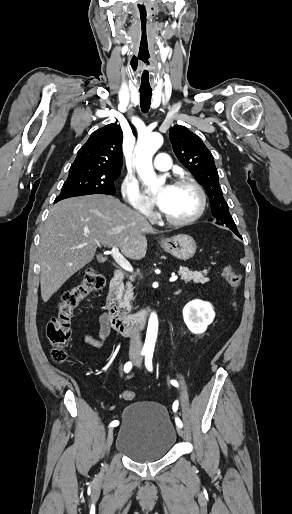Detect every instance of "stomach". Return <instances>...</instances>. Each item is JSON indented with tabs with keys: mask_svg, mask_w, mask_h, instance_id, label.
Here are the masks:
<instances>
[{
	"mask_svg": "<svg viewBox=\"0 0 292 514\" xmlns=\"http://www.w3.org/2000/svg\"><path fill=\"white\" fill-rule=\"evenodd\" d=\"M161 248H163L164 252H168V254L177 258V260H189V258L194 256L197 246L191 236L178 234V236H173V238L162 240Z\"/></svg>",
	"mask_w": 292,
	"mask_h": 514,
	"instance_id": "1",
	"label": "stomach"
}]
</instances>
